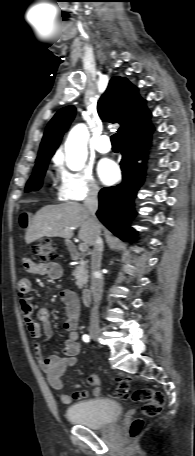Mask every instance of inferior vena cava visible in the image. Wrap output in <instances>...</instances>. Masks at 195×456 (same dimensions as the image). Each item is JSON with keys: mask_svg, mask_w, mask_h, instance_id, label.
<instances>
[{"mask_svg": "<svg viewBox=\"0 0 195 456\" xmlns=\"http://www.w3.org/2000/svg\"><path fill=\"white\" fill-rule=\"evenodd\" d=\"M98 187L91 188L87 198L84 201V206L87 209L90 221L94 228L95 239L94 249L91 256V292L93 295V308L91 310L90 324L91 326H98V308L102 299L103 292V279L100 273L101 257L103 251V240L100 237V224L96 217V211L98 209Z\"/></svg>", "mask_w": 195, "mask_h": 456, "instance_id": "1", "label": "inferior vena cava"}]
</instances>
